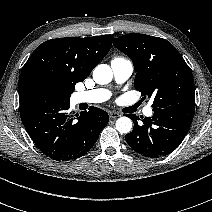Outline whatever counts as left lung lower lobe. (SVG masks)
Wrapping results in <instances>:
<instances>
[{
  "instance_id": "0a47b994",
  "label": "left lung lower lobe",
  "mask_w": 212,
  "mask_h": 212,
  "mask_svg": "<svg viewBox=\"0 0 212 212\" xmlns=\"http://www.w3.org/2000/svg\"><path fill=\"white\" fill-rule=\"evenodd\" d=\"M152 117L138 124L135 114L134 129L125 135L128 145L137 153L150 158H159L172 153L186 136L195 111V104L178 103L165 108L153 109Z\"/></svg>"
}]
</instances>
